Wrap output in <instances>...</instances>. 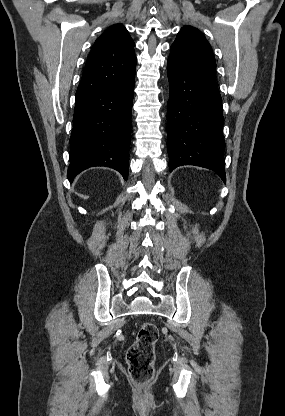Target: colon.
Here are the masks:
<instances>
[{
    "mask_svg": "<svg viewBox=\"0 0 285 416\" xmlns=\"http://www.w3.org/2000/svg\"><path fill=\"white\" fill-rule=\"evenodd\" d=\"M158 329L150 322L141 324L135 341L127 352V363L133 383L141 388L147 387L154 378L155 345Z\"/></svg>",
    "mask_w": 285,
    "mask_h": 416,
    "instance_id": "5ec220e1",
    "label": "colon"
}]
</instances>
